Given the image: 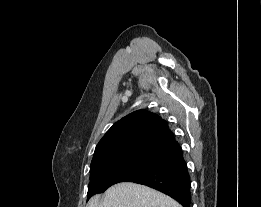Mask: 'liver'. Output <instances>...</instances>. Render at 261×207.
<instances>
[{
  "label": "liver",
  "mask_w": 261,
  "mask_h": 207,
  "mask_svg": "<svg viewBox=\"0 0 261 207\" xmlns=\"http://www.w3.org/2000/svg\"><path fill=\"white\" fill-rule=\"evenodd\" d=\"M87 207H182L169 196L144 185L122 182L110 187L100 200L96 195Z\"/></svg>",
  "instance_id": "6515ba94"
}]
</instances>
